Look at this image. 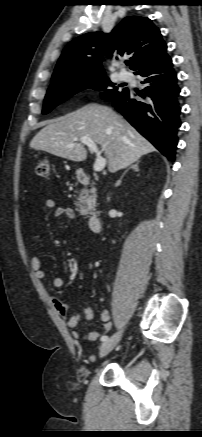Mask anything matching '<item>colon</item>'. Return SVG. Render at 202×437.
<instances>
[{
    "instance_id": "1",
    "label": "colon",
    "mask_w": 202,
    "mask_h": 437,
    "mask_svg": "<svg viewBox=\"0 0 202 437\" xmlns=\"http://www.w3.org/2000/svg\"><path fill=\"white\" fill-rule=\"evenodd\" d=\"M36 174L39 177H47L50 173V165L47 159L40 160L36 165Z\"/></svg>"
}]
</instances>
